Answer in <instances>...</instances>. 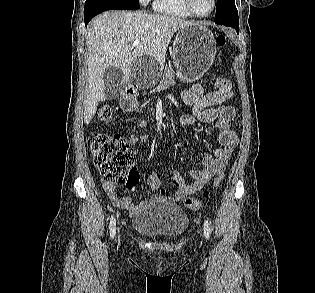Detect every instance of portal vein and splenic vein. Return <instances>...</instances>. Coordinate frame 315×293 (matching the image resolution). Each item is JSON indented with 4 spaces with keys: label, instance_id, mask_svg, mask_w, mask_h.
<instances>
[{
    "label": "portal vein and splenic vein",
    "instance_id": "18ae733b",
    "mask_svg": "<svg viewBox=\"0 0 315 293\" xmlns=\"http://www.w3.org/2000/svg\"><path fill=\"white\" fill-rule=\"evenodd\" d=\"M139 44V41H134L132 47H136Z\"/></svg>",
    "mask_w": 315,
    "mask_h": 293
}]
</instances>
